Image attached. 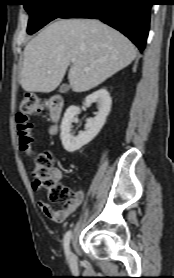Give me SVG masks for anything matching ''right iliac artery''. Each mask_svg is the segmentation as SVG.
<instances>
[{
  "instance_id": "right-iliac-artery-1",
  "label": "right iliac artery",
  "mask_w": 174,
  "mask_h": 278,
  "mask_svg": "<svg viewBox=\"0 0 174 278\" xmlns=\"http://www.w3.org/2000/svg\"><path fill=\"white\" fill-rule=\"evenodd\" d=\"M71 231H68L66 232L65 236H64V250H65V254L66 256L68 257L69 254H70V251H69V243H70V238H71Z\"/></svg>"
}]
</instances>
